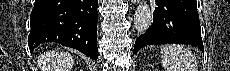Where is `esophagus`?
Returning a JSON list of instances; mask_svg holds the SVG:
<instances>
[{"label": "esophagus", "instance_id": "1", "mask_svg": "<svg viewBox=\"0 0 230 71\" xmlns=\"http://www.w3.org/2000/svg\"><path fill=\"white\" fill-rule=\"evenodd\" d=\"M133 4H138L140 2V0H132L131 1Z\"/></svg>", "mask_w": 230, "mask_h": 71}]
</instances>
